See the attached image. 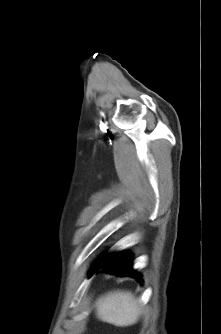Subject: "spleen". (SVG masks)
I'll list each match as a JSON object with an SVG mask.
<instances>
[{
	"label": "spleen",
	"instance_id": "1",
	"mask_svg": "<svg viewBox=\"0 0 221 334\" xmlns=\"http://www.w3.org/2000/svg\"><path fill=\"white\" fill-rule=\"evenodd\" d=\"M97 317L118 327L135 324L142 312L138 300L127 291H113L101 297L97 303Z\"/></svg>",
	"mask_w": 221,
	"mask_h": 334
}]
</instances>
